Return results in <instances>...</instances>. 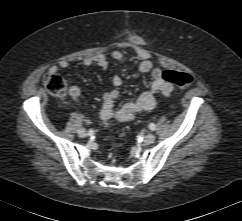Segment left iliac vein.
<instances>
[{"label": "left iliac vein", "mask_w": 242, "mask_h": 221, "mask_svg": "<svg viewBox=\"0 0 242 221\" xmlns=\"http://www.w3.org/2000/svg\"><path fill=\"white\" fill-rule=\"evenodd\" d=\"M155 135L152 133H148L145 137H144V143L145 144H152L155 142Z\"/></svg>", "instance_id": "left-iliac-vein-1"}]
</instances>
